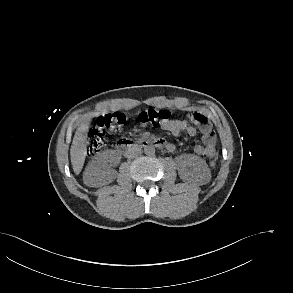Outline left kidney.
<instances>
[{
    "label": "left kidney",
    "instance_id": "obj_1",
    "mask_svg": "<svg viewBox=\"0 0 293 293\" xmlns=\"http://www.w3.org/2000/svg\"><path fill=\"white\" fill-rule=\"evenodd\" d=\"M177 170L184 181L203 183L210 178V169L206 162L194 154H183L177 159Z\"/></svg>",
    "mask_w": 293,
    "mask_h": 293
}]
</instances>
